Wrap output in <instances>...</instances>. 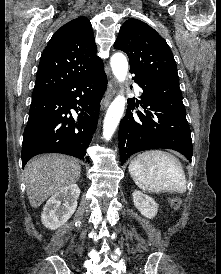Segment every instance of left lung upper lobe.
<instances>
[{"label":"left lung upper lobe","instance_id":"5c2ea615","mask_svg":"<svg viewBox=\"0 0 221 274\" xmlns=\"http://www.w3.org/2000/svg\"><path fill=\"white\" fill-rule=\"evenodd\" d=\"M114 48L128 55L130 71L148 76L158 86L181 93L173 54L166 41L149 25L137 19L125 21Z\"/></svg>","mask_w":221,"mask_h":274}]
</instances>
